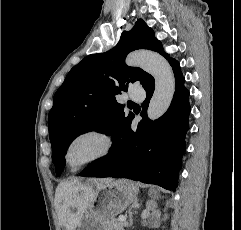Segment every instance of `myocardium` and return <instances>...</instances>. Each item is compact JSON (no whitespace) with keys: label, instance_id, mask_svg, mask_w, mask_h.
I'll use <instances>...</instances> for the list:
<instances>
[{"label":"myocardium","instance_id":"f54148a6","mask_svg":"<svg viewBox=\"0 0 241 230\" xmlns=\"http://www.w3.org/2000/svg\"><path fill=\"white\" fill-rule=\"evenodd\" d=\"M84 136L98 137L103 142V148L98 154L91 157L90 159H88L76 166H72L68 160V154H69L70 147L77 139L84 137ZM113 148H114V140L107 131H105L104 129H101V128L91 127V128H86V129H83V130L77 132L75 135H73L70 138V140L68 141V143L65 147L63 158H64V162H65L66 166L70 170L75 171V170L81 169L87 165H90L92 163H95L97 161H100V160L106 158L107 156H109L111 154Z\"/></svg>","mask_w":241,"mask_h":230}]
</instances>
